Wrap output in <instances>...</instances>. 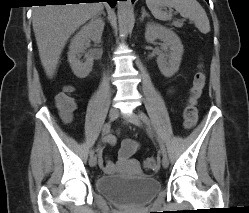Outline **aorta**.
I'll return each instance as SVG.
<instances>
[{
	"label": "aorta",
	"instance_id": "obj_1",
	"mask_svg": "<svg viewBox=\"0 0 249 213\" xmlns=\"http://www.w3.org/2000/svg\"><path fill=\"white\" fill-rule=\"evenodd\" d=\"M131 12V0L117 2L118 26L122 35H125L128 32Z\"/></svg>",
	"mask_w": 249,
	"mask_h": 213
}]
</instances>
